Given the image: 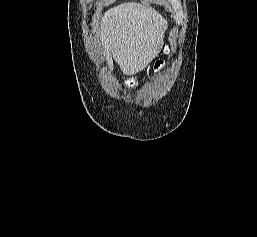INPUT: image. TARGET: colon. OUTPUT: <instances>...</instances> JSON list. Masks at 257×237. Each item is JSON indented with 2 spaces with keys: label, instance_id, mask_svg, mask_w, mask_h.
Returning a JSON list of instances; mask_svg holds the SVG:
<instances>
[{
  "label": "colon",
  "instance_id": "1",
  "mask_svg": "<svg viewBox=\"0 0 257 237\" xmlns=\"http://www.w3.org/2000/svg\"><path fill=\"white\" fill-rule=\"evenodd\" d=\"M163 63H164V60L163 59H159L158 62H157L156 67L160 68L163 65Z\"/></svg>",
  "mask_w": 257,
  "mask_h": 237
}]
</instances>
